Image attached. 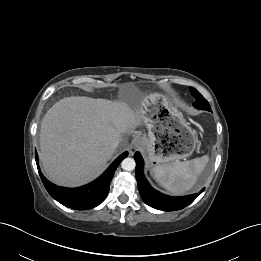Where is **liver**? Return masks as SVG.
<instances>
[{"label": "liver", "mask_w": 261, "mask_h": 261, "mask_svg": "<svg viewBox=\"0 0 261 261\" xmlns=\"http://www.w3.org/2000/svg\"><path fill=\"white\" fill-rule=\"evenodd\" d=\"M145 101L65 97L45 114L40 130V159L55 184L80 186L105 169L125 133L145 124Z\"/></svg>", "instance_id": "1"}]
</instances>
